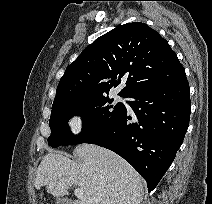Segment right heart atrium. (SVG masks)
Wrapping results in <instances>:
<instances>
[{
  "label": "right heart atrium",
  "mask_w": 212,
  "mask_h": 204,
  "mask_svg": "<svg viewBox=\"0 0 212 204\" xmlns=\"http://www.w3.org/2000/svg\"><path fill=\"white\" fill-rule=\"evenodd\" d=\"M67 126L72 135L77 137L83 135L87 126L86 115L81 112L73 113L67 121Z\"/></svg>",
  "instance_id": "right-heart-atrium-1"
}]
</instances>
